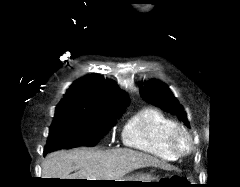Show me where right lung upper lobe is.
Masks as SVG:
<instances>
[{"label":"right lung upper lobe","mask_w":240,"mask_h":187,"mask_svg":"<svg viewBox=\"0 0 240 187\" xmlns=\"http://www.w3.org/2000/svg\"><path fill=\"white\" fill-rule=\"evenodd\" d=\"M116 85L96 75L74 82L56 108L91 112H112L125 109L129 99L125 92L115 91Z\"/></svg>","instance_id":"cb5924a9"}]
</instances>
